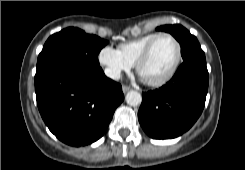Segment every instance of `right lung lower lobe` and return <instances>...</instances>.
I'll list each match as a JSON object with an SVG mask.
<instances>
[{
  "label": "right lung lower lobe",
  "mask_w": 245,
  "mask_h": 170,
  "mask_svg": "<svg viewBox=\"0 0 245 170\" xmlns=\"http://www.w3.org/2000/svg\"><path fill=\"white\" fill-rule=\"evenodd\" d=\"M38 109L49 130L79 147L102 137L124 95L100 67H61L35 82Z\"/></svg>",
  "instance_id": "1"
}]
</instances>
